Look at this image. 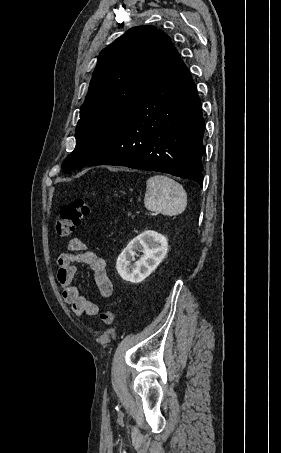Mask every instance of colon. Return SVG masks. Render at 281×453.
I'll list each match as a JSON object with an SVG mask.
<instances>
[{
  "mask_svg": "<svg viewBox=\"0 0 281 453\" xmlns=\"http://www.w3.org/2000/svg\"><path fill=\"white\" fill-rule=\"evenodd\" d=\"M92 196L76 198L74 201L62 204L60 216L56 220L55 229L59 236L67 237L80 227L89 213ZM116 312L112 307H105L100 314L101 326L109 328L113 325Z\"/></svg>",
  "mask_w": 281,
  "mask_h": 453,
  "instance_id": "colon-1",
  "label": "colon"
}]
</instances>
